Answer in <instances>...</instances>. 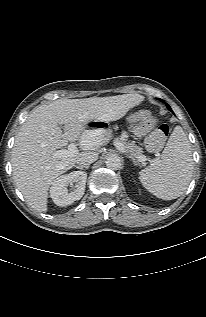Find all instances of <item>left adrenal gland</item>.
Instances as JSON below:
<instances>
[{"label": "left adrenal gland", "instance_id": "a2214340", "mask_svg": "<svg viewBox=\"0 0 206 317\" xmlns=\"http://www.w3.org/2000/svg\"><path fill=\"white\" fill-rule=\"evenodd\" d=\"M128 157L133 161V163H136V160L134 157H132V156H128Z\"/></svg>", "mask_w": 206, "mask_h": 317}]
</instances>
